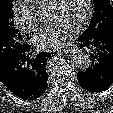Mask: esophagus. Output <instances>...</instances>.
I'll return each mask as SVG.
<instances>
[{"instance_id":"esophagus-1","label":"esophagus","mask_w":113,"mask_h":113,"mask_svg":"<svg viewBox=\"0 0 113 113\" xmlns=\"http://www.w3.org/2000/svg\"><path fill=\"white\" fill-rule=\"evenodd\" d=\"M72 49H73V46L72 45H68L66 47L60 48V51H62L64 53H69Z\"/></svg>"}]
</instances>
